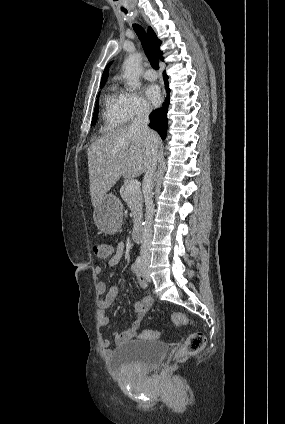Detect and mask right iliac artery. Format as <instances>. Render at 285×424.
Instances as JSON below:
<instances>
[{
    "label": "right iliac artery",
    "instance_id": "right-iliac-artery-1",
    "mask_svg": "<svg viewBox=\"0 0 285 424\" xmlns=\"http://www.w3.org/2000/svg\"><path fill=\"white\" fill-rule=\"evenodd\" d=\"M142 263H143L142 257L141 256H138L137 259H136L137 266H139L141 268Z\"/></svg>",
    "mask_w": 285,
    "mask_h": 424
}]
</instances>
